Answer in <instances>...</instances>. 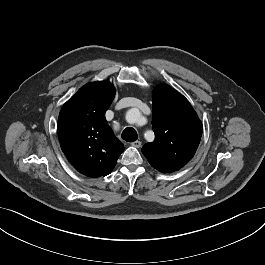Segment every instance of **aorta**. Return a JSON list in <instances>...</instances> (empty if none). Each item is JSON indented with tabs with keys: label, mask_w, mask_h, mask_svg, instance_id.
<instances>
[{
	"label": "aorta",
	"mask_w": 265,
	"mask_h": 265,
	"mask_svg": "<svg viewBox=\"0 0 265 265\" xmlns=\"http://www.w3.org/2000/svg\"><path fill=\"white\" fill-rule=\"evenodd\" d=\"M140 112L137 109H131L127 112L126 119L130 123L136 122L140 118Z\"/></svg>",
	"instance_id": "1"
}]
</instances>
